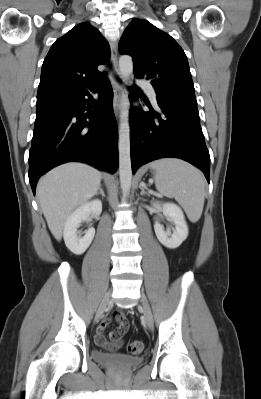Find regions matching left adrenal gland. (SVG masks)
Returning <instances> with one entry per match:
<instances>
[{"mask_svg": "<svg viewBox=\"0 0 261 399\" xmlns=\"http://www.w3.org/2000/svg\"><path fill=\"white\" fill-rule=\"evenodd\" d=\"M139 187L141 189V193H140L141 195H144V194H146L148 196L150 195V193L145 191V189H147V187L144 184H140Z\"/></svg>", "mask_w": 261, "mask_h": 399, "instance_id": "obj_1", "label": "left adrenal gland"}]
</instances>
